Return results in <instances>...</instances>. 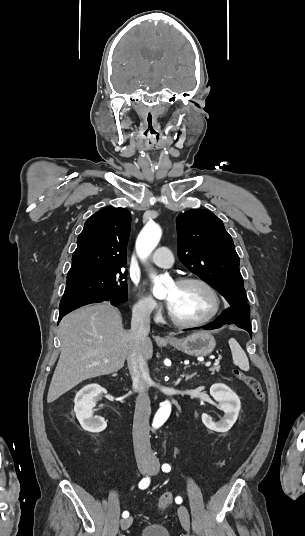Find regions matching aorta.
Instances as JSON below:
<instances>
[{"label": "aorta", "instance_id": "aorta-1", "mask_svg": "<svg viewBox=\"0 0 305 536\" xmlns=\"http://www.w3.org/2000/svg\"><path fill=\"white\" fill-rule=\"evenodd\" d=\"M162 235L161 228L157 224H147L140 232L136 241V252L138 257L145 261L155 249ZM153 281V295L162 298L166 295L167 279L151 274ZM171 413V403L166 400L161 403L153 419V426L160 427L168 419Z\"/></svg>", "mask_w": 305, "mask_h": 536}]
</instances>
